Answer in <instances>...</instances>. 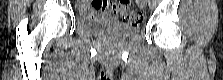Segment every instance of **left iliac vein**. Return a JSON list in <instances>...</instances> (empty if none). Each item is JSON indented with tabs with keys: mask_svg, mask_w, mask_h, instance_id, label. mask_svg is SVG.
Masks as SVG:
<instances>
[{
	"mask_svg": "<svg viewBox=\"0 0 223 80\" xmlns=\"http://www.w3.org/2000/svg\"><path fill=\"white\" fill-rule=\"evenodd\" d=\"M140 5H141L142 8H145V6H146V1L142 0Z\"/></svg>",
	"mask_w": 223,
	"mask_h": 80,
	"instance_id": "obj_1",
	"label": "left iliac vein"
}]
</instances>
